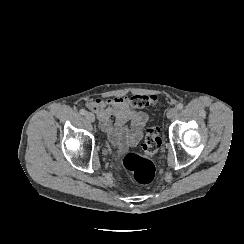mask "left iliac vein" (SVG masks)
<instances>
[{"label":"left iliac vein","instance_id":"1","mask_svg":"<svg viewBox=\"0 0 244 244\" xmlns=\"http://www.w3.org/2000/svg\"><path fill=\"white\" fill-rule=\"evenodd\" d=\"M178 114V111L176 108H170L167 112V118L172 119L175 118Z\"/></svg>","mask_w":244,"mask_h":244}]
</instances>
